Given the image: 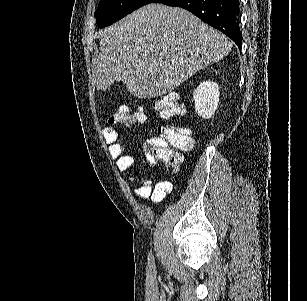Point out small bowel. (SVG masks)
Masks as SVG:
<instances>
[{
    "mask_svg": "<svg viewBox=\"0 0 307 301\" xmlns=\"http://www.w3.org/2000/svg\"><path fill=\"white\" fill-rule=\"evenodd\" d=\"M103 138L109 145L110 156L116 161L118 170L122 173L127 172L134 163V157L131 153H127V145L119 142V130L116 125H107L103 129ZM158 142V138L150 137L145 141L144 151L147 162L151 168L156 165V158L151 153V147ZM154 177L149 179L134 178L138 184L132 193L139 200L150 199L154 205L160 204L171 192L173 185L168 180H160L154 182Z\"/></svg>",
    "mask_w": 307,
    "mask_h": 301,
    "instance_id": "1",
    "label": "small bowel"
}]
</instances>
